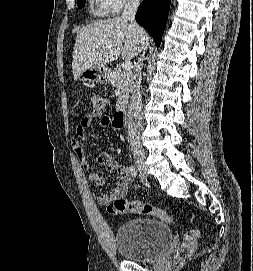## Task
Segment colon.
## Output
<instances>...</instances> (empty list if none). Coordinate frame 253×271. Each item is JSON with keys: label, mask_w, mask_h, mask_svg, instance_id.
Here are the masks:
<instances>
[{"label": "colon", "mask_w": 253, "mask_h": 271, "mask_svg": "<svg viewBox=\"0 0 253 271\" xmlns=\"http://www.w3.org/2000/svg\"><path fill=\"white\" fill-rule=\"evenodd\" d=\"M91 104L93 110L98 113L106 108L107 99L103 95L93 94L91 96ZM106 207L108 211L117 214L129 212L134 214L153 216L168 223L173 222V216L169 212L157 208L149 203H143L135 200H125L120 198L112 203H108ZM198 238L199 231L197 229H191L182 241L178 249L177 256L181 259L186 258L194 250Z\"/></svg>", "instance_id": "1"}]
</instances>
